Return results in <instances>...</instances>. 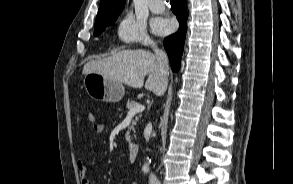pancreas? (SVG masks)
Segmentation results:
<instances>
[{
    "label": "pancreas",
    "mask_w": 293,
    "mask_h": 184,
    "mask_svg": "<svg viewBox=\"0 0 293 184\" xmlns=\"http://www.w3.org/2000/svg\"><path fill=\"white\" fill-rule=\"evenodd\" d=\"M137 105H138V103L135 101H128L126 104V108L128 110H131L132 108L136 107ZM137 120H138V118H136L134 121H132L131 127H129V131L125 135L126 141L129 143L131 142L129 133L132 129H134V126L136 125Z\"/></svg>",
    "instance_id": "pancreas-1"
}]
</instances>
